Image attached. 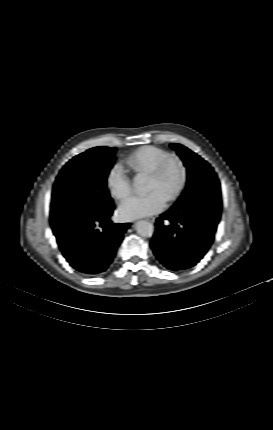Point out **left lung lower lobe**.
Listing matches in <instances>:
<instances>
[{"label": "left lung lower lobe", "instance_id": "obj_1", "mask_svg": "<svg viewBox=\"0 0 273 430\" xmlns=\"http://www.w3.org/2000/svg\"><path fill=\"white\" fill-rule=\"evenodd\" d=\"M221 196L201 193L171 208L156 221L151 247L168 269L180 271L196 265L210 248L221 216ZM168 220L165 225L163 220Z\"/></svg>", "mask_w": 273, "mask_h": 430}]
</instances>
